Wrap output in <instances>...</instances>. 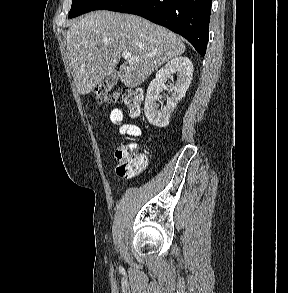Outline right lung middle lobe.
I'll return each instance as SVG.
<instances>
[{
  "instance_id": "dd1d6c3e",
  "label": "right lung middle lobe",
  "mask_w": 288,
  "mask_h": 293,
  "mask_svg": "<svg viewBox=\"0 0 288 293\" xmlns=\"http://www.w3.org/2000/svg\"><path fill=\"white\" fill-rule=\"evenodd\" d=\"M118 1L119 0H72L69 18L94 10L107 9Z\"/></svg>"
}]
</instances>
